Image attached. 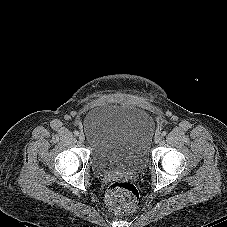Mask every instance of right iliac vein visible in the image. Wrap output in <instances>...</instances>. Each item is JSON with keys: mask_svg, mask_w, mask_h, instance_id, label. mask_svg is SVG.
Returning <instances> with one entry per match:
<instances>
[{"mask_svg": "<svg viewBox=\"0 0 227 227\" xmlns=\"http://www.w3.org/2000/svg\"><path fill=\"white\" fill-rule=\"evenodd\" d=\"M79 140L81 141V142H84L85 141V136H84V134H80L79 135Z\"/></svg>", "mask_w": 227, "mask_h": 227, "instance_id": "obj_1", "label": "right iliac vein"}]
</instances>
